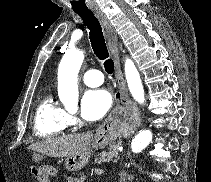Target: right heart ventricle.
I'll return each instance as SVG.
<instances>
[{
	"mask_svg": "<svg viewBox=\"0 0 211 182\" xmlns=\"http://www.w3.org/2000/svg\"><path fill=\"white\" fill-rule=\"evenodd\" d=\"M69 126L67 112L55 102L51 94L39 102L34 118V132L39 138H53L63 134Z\"/></svg>",
	"mask_w": 211,
	"mask_h": 182,
	"instance_id": "e07e8e85",
	"label": "right heart ventricle"
}]
</instances>
